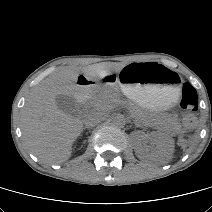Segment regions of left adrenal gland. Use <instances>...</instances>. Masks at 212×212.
<instances>
[{"label": "left adrenal gland", "instance_id": "obj_1", "mask_svg": "<svg viewBox=\"0 0 212 212\" xmlns=\"http://www.w3.org/2000/svg\"><path fill=\"white\" fill-rule=\"evenodd\" d=\"M135 126H136V127H140V125H139V124H137V123H135Z\"/></svg>", "mask_w": 212, "mask_h": 212}]
</instances>
